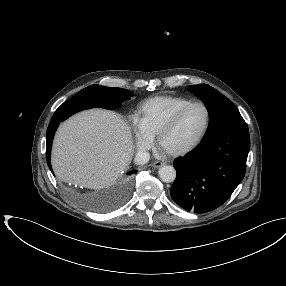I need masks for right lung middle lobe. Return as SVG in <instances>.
Segmentation results:
<instances>
[{
    "label": "right lung middle lobe",
    "mask_w": 286,
    "mask_h": 286,
    "mask_svg": "<svg viewBox=\"0 0 286 286\" xmlns=\"http://www.w3.org/2000/svg\"><path fill=\"white\" fill-rule=\"evenodd\" d=\"M134 94L123 88H109L100 85H91L82 89L70 100L64 102L54 113V117L62 121L74 113L94 108L113 110L119 108L123 101Z\"/></svg>",
    "instance_id": "right-lung-middle-lobe-1"
}]
</instances>
